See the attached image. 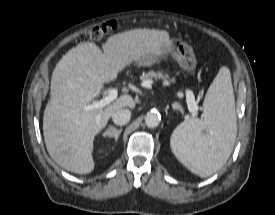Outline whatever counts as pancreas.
Instances as JSON below:
<instances>
[{"label": "pancreas", "instance_id": "cf45deb5", "mask_svg": "<svg viewBox=\"0 0 275 215\" xmlns=\"http://www.w3.org/2000/svg\"><path fill=\"white\" fill-rule=\"evenodd\" d=\"M162 79V80H167L169 78L168 74H163L162 72H154V71H149L148 73H143L140 76V79L142 80L143 83H146L148 80L151 79ZM174 81V78L171 80Z\"/></svg>", "mask_w": 275, "mask_h": 215}]
</instances>
